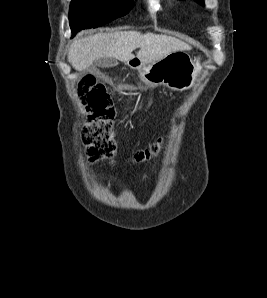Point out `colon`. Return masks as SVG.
<instances>
[{
  "label": "colon",
  "mask_w": 267,
  "mask_h": 298,
  "mask_svg": "<svg viewBox=\"0 0 267 298\" xmlns=\"http://www.w3.org/2000/svg\"><path fill=\"white\" fill-rule=\"evenodd\" d=\"M77 96L86 116L87 132L94 138L93 162L112 161L115 149L114 141L108 133L106 121L112 115V107L106 88L99 84L92 75L83 76L77 86ZM164 139L151 144L137 152L131 159L133 163H142L154 158L162 149Z\"/></svg>",
  "instance_id": "5ec220e1"
}]
</instances>
